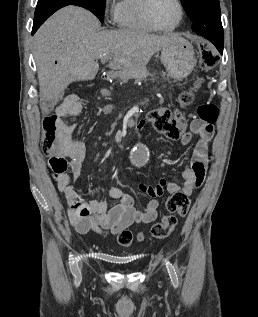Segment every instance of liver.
Returning a JSON list of instances; mask_svg holds the SVG:
<instances>
[{
    "label": "liver",
    "mask_w": 258,
    "mask_h": 317,
    "mask_svg": "<svg viewBox=\"0 0 258 317\" xmlns=\"http://www.w3.org/2000/svg\"><path fill=\"white\" fill-rule=\"evenodd\" d=\"M100 22L81 6H64L34 34V58L40 94L59 100L73 80H90L99 70L98 58L112 56L108 66L121 72L145 70L152 54L182 40L176 32L149 34L144 30H99Z\"/></svg>",
    "instance_id": "obj_1"
}]
</instances>
